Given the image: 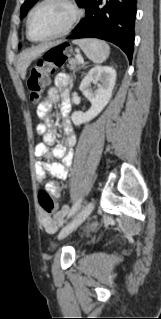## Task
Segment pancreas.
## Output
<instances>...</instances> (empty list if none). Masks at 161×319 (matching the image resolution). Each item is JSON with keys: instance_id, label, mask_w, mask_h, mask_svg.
Returning <instances> with one entry per match:
<instances>
[{"instance_id": "obj_1", "label": "pancreas", "mask_w": 161, "mask_h": 319, "mask_svg": "<svg viewBox=\"0 0 161 319\" xmlns=\"http://www.w3.org/2000/svg\"><path fill=\"white\" fill-rule=\"evenodd\" d=\"M80 65V62L76 59H70L69 60V64H68V67L71 71L75 72L76 69H77V66Z\"/></svg>"}]
</instances>
